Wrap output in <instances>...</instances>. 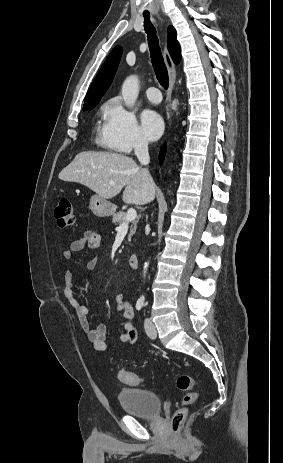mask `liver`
Here are the masks:
<instances>
[{"mask_svg": "<svg viewBox=\"0 0 283 463\" xmlns=\"http://www.w3.org/2000/svg\"><path fill=\"white\" fill-rule=\"evenodd\" d=\"M59 179L85 185L105 199L125 188L122 199L127 204L144 205L155 198V184L147 181L145 169L120 153L81 152L59 173Z\"/></svg>", "mask_w": 283, "mask_h": 463, "instance_id": "1", "label": "liver"}]
</instances>
